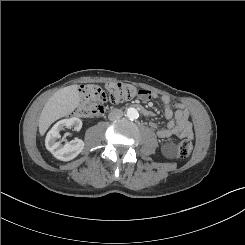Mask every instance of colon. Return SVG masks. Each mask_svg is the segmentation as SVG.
Wrapping results in <instances>:
<instances>
[{
  "label": "colon",
  "mask_w": 245,
  "mask_h": 245,
  "mask_svg": "<svg viewBox=\"0 0 245 245\" xmlns=\"http://www.w3.org/2000/svg\"><path fill=\"white\" fill-rule=\"evenodd\" d=\"M144 94H146V90L137 89L127 83L88 84L82 87L81 102L75 114L81 117H95L104 113L107 102L118 104ZM192 149V143L189 140H184L177 146V155L180 158H186L191 154Z\"/></svg>",
  "instance_id": "1"
}]
</instances>
